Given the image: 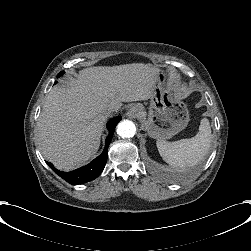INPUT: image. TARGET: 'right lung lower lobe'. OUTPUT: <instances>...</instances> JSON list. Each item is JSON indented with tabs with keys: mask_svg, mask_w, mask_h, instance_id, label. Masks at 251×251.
Segmentation results:
<instances>
[{
	"mask_svg": "<svg viewBox=\"0 0 251 251\" xmlns=\"http://www.w3.org/2000/svg\"><path fill=\"white\" fill-rule=\"evenodd\" d=\"M120 120H121V117L118 116V117L111 119L108 122L107 127L109 130V135L106 138L104 151L102 152V154L100 156H98L96 159H94L88 165L81 167L79 169H76L74 171H71V172H63V171H59L58 169H56L53 166V164H51L50 162L46 161V163L60 177H62L68 183H70L72 185L83 184V183L94 180L95 178H97L100 175V173L103 171V169L105 167V164L107 162V152H108L107 150H108L109 144L111 142V139L113 137L115 127Z\"/></svg>",
	"mask_w": 251,
	"mask_h": 251,
	"instance_id": "98d812e1",
	"label": "right lung lower lobe"
}]
</instances>
